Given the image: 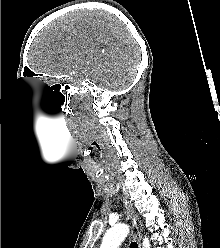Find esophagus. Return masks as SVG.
Wrapping results in <instances>:
<instances>
[{
  "label": "esophagus",
  "mask_w": 220,
  "mask_h": 248,
  "mask_svg": "<svg viewBox=\"0 0 220 248\" xmlns=\"http://www.w3.org/2000/svg\"><path fill=\"white\" fill-rule=\"evenodd\" d=\"M125 207L127 210V214L129 218L132 221V226H133V235L134 238L136 239L138 243V248H141V233H140V226H141V221L140 218L138 217L136 211L132 207V205L125 199L124 200Z\"/></svg>",
  "instance_id": "1"
}]
</instances>
